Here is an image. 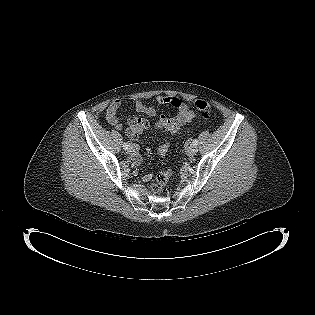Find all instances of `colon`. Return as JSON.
I'll return each mask as SVG.
<instances>
[{"instance_id": "1", "label": "colon", "mask_w": 315, "mask_h": 315, "mask_svg": "<svg viewBox=\"0 0 315 315\" xmlns=\"http://www.w3.org/2000/svg\"><path fill=\"white\" fill-rule=\"evenodd\" d=\"M194 108L197 109L198 111H201L205 115H209L211 112V105L209 102L198 99L194 102L193 104ZM141 119L138 118H133L130 121V125L140 121ZM137 135V134H136ZM172 172L171 171H165L161 172L156 176L155 183L152 184L151 189L153 192L158 193L162 190V188L165 186V184L168 182Z\"/></svg>"}]
</instances>
